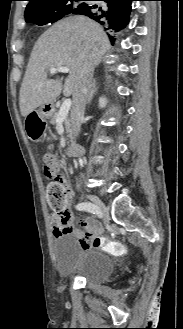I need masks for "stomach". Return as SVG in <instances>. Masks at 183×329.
<instances>
[{
    "instance_id": "obj_1",
    "label": "stomach",
    "mask_w": 183,
    "mask_h": 329,
    "mask_svg": "<svg viewBox=\"0 0 183 329\" xmlns=\"http://www.w3.org/2000/svg\"><path fill=\"white\" fill-rule=\"evenodd\" d=\"M55 112V106L53 102L43 104L40 107L38 114L41 117H50Z\"/></svg>"
}]
</instances>
